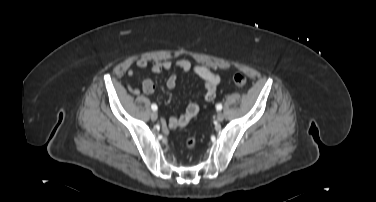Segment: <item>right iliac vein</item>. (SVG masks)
I'll return each instance as SVG.
<instances>
[{"instance_id":"right-iliac-vein-1","label":"right iliac vein","mask_w":376,"mask_h":202,"mask_svg":"<svg viewBox=\"0 0 376 202\" xmlns=\"http://www.w3.org/2000/svg\"><path fill=\"white\" fill-rule=\"evenodd\" d=\"M157 118H158V114H157V112L153 111V112L151 113V120L156 121Z\"/></svg>"}]
</instances>
